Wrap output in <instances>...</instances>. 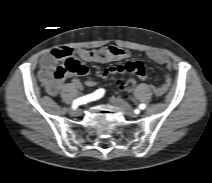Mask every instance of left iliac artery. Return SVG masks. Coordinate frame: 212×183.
I'll use <instances>...</instances> for the list:
<instances>
[{
  "mask_svg": "<svg viewBox=\"0 0 212 183\" xmlns=\"http://www.w3.org/2000/svg\"><path fill=\"white\" fill-rule=\"evenodd\" d=\"M139 108H140V109H145V108H146V105H145V104H140V105H139Z\"/></svg>",
  "mask_w": 212,
  "mask_h": 183,
  "instance_id": "obj_1",
  "label": "left iliac artery"
}]
</instances>
